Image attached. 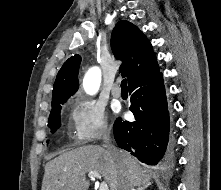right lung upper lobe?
I'll return each mask as SVG.
<instances>
[{
    "label": "right lung upper lobe",
    "mask_w": 221,
    "mask_h": 190,
    "mask_svg": "<svg viewBox=\"0 0 221 190\" xmlns=\"http://www.w3.org/2000/svg\"><path fill=\"white\" fill-rule=\"evenodd\" d=\"M111 47L115 57L123 62L120 72L127 77L129 88L151 80L160 73L152 45L132 23L122 20L116 24L112 31ZM80 62L81 57L76 54L63 64L53 86L52 104L67 100L78 90Z\"/></svg>",
    "instance_id": "right-lung-upper-lobe-1"
}]
</instances>
